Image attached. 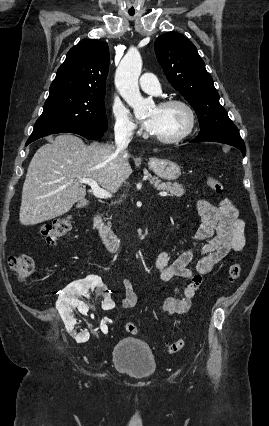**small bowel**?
I'll return each mask as SVG.
<instances>
[{
    "mask_svg": "<svg viewBox=\"0 0 269 426\" xmlns=\"http://www.w3.org/2000/svg\"><path fill=\"white\" fill-rule=\"evenodd\" d=\"M197 209L201 224L196 239L202 243V258L195 269L189 267L193 258L191 249L182 251L174 259L168 251L159 252L155 258V268L162 281H171L178 277L185 280L184 285L176 286L171 297L158 304L160 310L169 314L187 313L200 288L202 277L211 273L227 255L242 251L246 245L245 223L239 217L237 208L228 199L221 200L217 206L198 199ZM121 282L125 292L121 301L122 308H135L139 299L131 281L124 277Z\"/></svg>",
    "mask_w": 269,
    "mask_h": 426,
    "instance_id": "c3829d8e",
    "label": "small bowel"
}]
</instances>
